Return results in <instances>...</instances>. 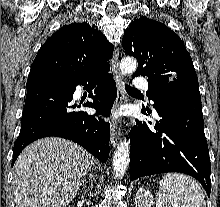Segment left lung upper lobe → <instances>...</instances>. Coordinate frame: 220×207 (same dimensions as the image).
I'll return each mask as SVG.
<instances>
[{
	"mask_svg": "<svg viewBox=\"0 0 220 207\" xmlns=\"http://www.w3.org/2000/svg\"><path fill=\"white\" fill-rule=\"evenodd\" d=\"M122 46L138 61L134 76L148 77L150 98L167 86H198L192 59L183 41L163 23L147 17L135 19L124 33Z\"/></svg>",
	"mask_w": 220,
	"mask_h": 207,
	"instance_id": "1",
	"label": "left lung upper lobe"
}]
</instances>
